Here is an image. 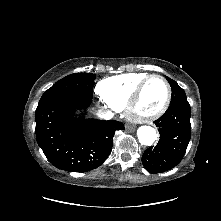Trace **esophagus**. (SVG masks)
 Masks as SVG:
<instances>
[{
	"label": "esophagus",
	"mask_w": 221,
	"mask_h": 221,
	"mask_svg": "<svg viewBox=\"0 0 221 221\" xmlns=\"http://www.w3.org/2000/svg\"><path fill=\"white\" fill-rule=\"evenodd\" d=\"M126 129L129 130V131H134L135 130V126L126 125Z\"/></svg>",
	"instance_id": "esophagus-1"
}]
</instances>
